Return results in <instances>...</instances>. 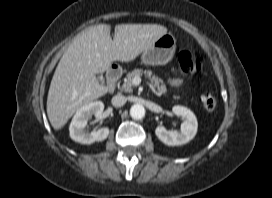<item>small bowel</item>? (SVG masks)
I'll list each match as a JSON object with an SVG mask.
<instances>
[{
    "mask_svg": "<svg viewBox=\"0 0 272 198\" xmlns=\"http://www.w3.org/2000/svg\"><path fill=\"white\" fill-rule=\"evenodd\" d=\"M169 82H170V84H172V85H180V84L183 83V81H182L181 79H175V78L170 79Z\"/></svg>",
    "mask_w": 272,
    "mask_h": 198,
    "instance_id": "small-bowel-1",
    "label": "small bowel"
}]
</instances>
